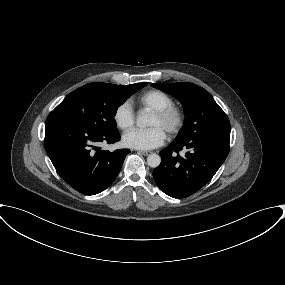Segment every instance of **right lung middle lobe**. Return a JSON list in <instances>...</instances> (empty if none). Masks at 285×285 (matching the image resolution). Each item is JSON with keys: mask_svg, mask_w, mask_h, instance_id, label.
<instances>
[{"mask_svg": "<svg viewBox=\"0 0 285 285\" xmlns=\"http://www.w3.org/2000/svg\"><path fill=\"white\" fill-rule=\"evenodd\" d=\"M146 84L89 83L68 94L51 113L70 117L96 132L113 133L118 131L114 119L118 107Z\"/></svg>", "mask_w": 285, "mask_h": 285, "instance_id": "dd1d6c3e", "label": "right lung middle lobe"}]
</instances>
